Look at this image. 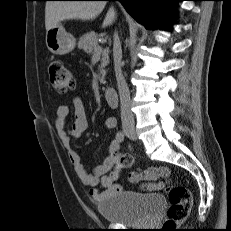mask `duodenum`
Wrapping results in <instances>:
<instances>
[{
  "label": "duodenum",
  "mask_w": 231,
  "mask_h": 231,
  "mask_svg": "<svg viewBox=\"0 0 231 231\" xmlns=\"http://www.w3.org/2000/svg\"><path fill=\"white\" fill-rule=\"evenodd\" d=\"M104 96L110 107L116 108L119 104L118 94L115 89L107 88L104 91Z\"/></svg>",
  "instance_id": "duodenum-1"
}]
</instances>
